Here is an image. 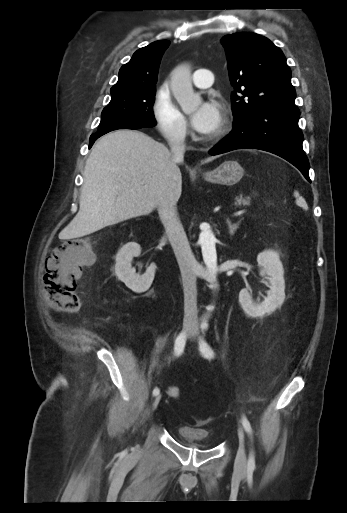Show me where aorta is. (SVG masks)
I'll return each instance as SVG.
<instances>
[{"mask_svg": "<svg viewBox=\"0 0 347 513\" xmlns=\"http://www.w3.org/2000/svg\"><path fill=\"white\" fill-rule=\"evenodd\" d=\"M171 90L184 113H191L201 104V97L194 93L191 81V70L187 64L177 66L171 74ZM202 255L209 273L211 287H216L217 253L216 238L207 228L200 234L199 239Z\"/></svg>", "mask_w": 347, "mask_h": 513, "instance_id": "obj_1", "label": "aorta"}]
</instances>
